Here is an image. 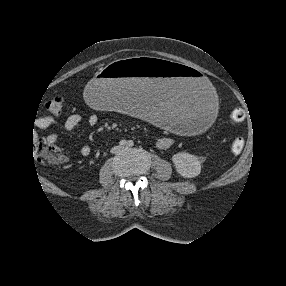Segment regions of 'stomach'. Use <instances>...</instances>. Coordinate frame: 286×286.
<instances>
[{
  "instance_id": "stomach-1",
  "label": "stomach",
  "mask_w": 286,
  "mask_h": 286,
  "mask_svg": "<svg viewBox=\"0 0 286 286\" xmlns=\"http://www.w3.org/2000/svg\"><path fill=\"white\" fill-rule=\"evenodd\" d=\"M94 106L126 112L171 132L195 135L212 123L217 97L211 81L195 68L165 58L118 60L86 87Z\"/></svg>"
}]
</instances>
